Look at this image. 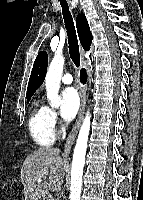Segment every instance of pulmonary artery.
Masks as SVG:
<instances>
[{"instance_id": "pulmonary-artery-1", "label": "pulmonary artery", "mask_w": 143, "mask_h": 200, "mask_svg": "<svg viewBox=\"0 0 143 200\" xmlns=\"http://www.w3.org/2000/svg\"><path fill=\"white\" fill-rule=\"evenodd\" d=\"M61 81L64 84H71L73 82V77L71 74L67 73L63 75Z\"/></svg>"}]
</instances>
